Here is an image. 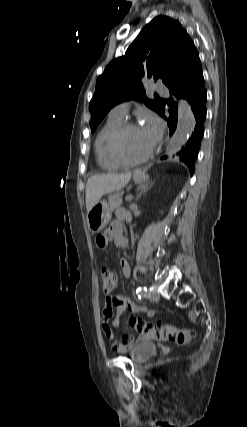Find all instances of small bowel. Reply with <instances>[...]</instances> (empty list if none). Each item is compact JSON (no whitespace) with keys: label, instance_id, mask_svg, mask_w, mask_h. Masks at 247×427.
Returning <instances> with one entry per match:
<instances>
[{"label":"small bowel","instance_id":"obj_1","mask_svg":"<svg viewBox=\"0 0 247 427\" xmlns=\"http://www.w3.org/2000/svg\"><path fill=\"white\" fill-rule=\"evenodd\" d=\"M124 211L117 212V219L111 223V225L97 237L96 243L99 248H105L108 241H114L118 246L124 247L127 244V240L123 234V226L121 221L126 218ZM123 274L128 277L130 275V267L125 260L120 262ZM130 312L132 314H138L147 312V310L131 300L127 299L122 295H117L112 299H107L103 312H102V329L105 337L110 342L111 348L116 352H126L133 347L135 344L134 337L129 332H125L122 339L119 340L115 335V328L120 325V317L124 312ZM151 316L154 313L148 312ZM147 338L141 336L140 340Z\"/></svg>","mask_w":247,"mask_h":427}]
</instances>
